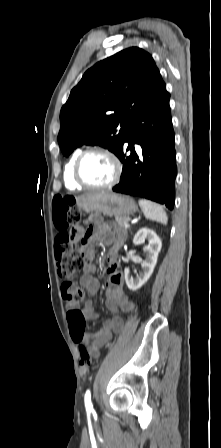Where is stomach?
Returning a JSON list of instances; mask_svg holds the SVG:
<instances>
[{"mask_svg": "<svg viewBox=\"0 0 221 448\" xmlns=\"http://www.w3.org/2000/svg\"><path fill=\"white\" fill-rule=\"evenodd\" d=\"M78 206L87 213H102L107 216H129L137 211L134 200L125 195L101 191L80 197Z\"/></svg>", "mask_w": 221, "mask_h": 448, "instance_id": "obj_1", "label": "stomach"}]
</instances>
